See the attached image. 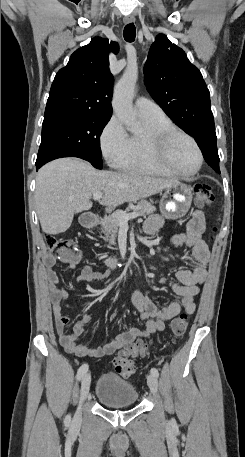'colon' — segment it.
<instances>
[{
  "instance_id": "1",
  "label": "colon",
  "mask_w": 245,
  "mask_h": 457,
  "mask_svg": "<svg viewBox=\"0 0 245 457\" xmlns=\"http://www.w3.org/2000/svg\"><path fill=\"white\" fill-rule=\"evenodd\" d=\"M196 203L199 206H207L214 199V193L207 184H198L194 188ZM45 243L49 253L54 257L77 258L79 251L72 240L60 238L52 234L45 236ZM189 326V320L186 314L180 315L171 323V331L174 338H180L184 335ZM148 353V346L143 341L137 340L125 345L113 360L116 372L124 377H131L136 371L134 359L138 356H145Z\"/></svg>"
}]
</instances>
